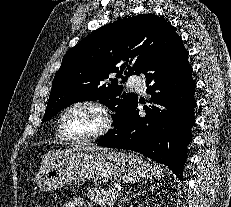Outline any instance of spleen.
I'll return each mask as SVG.
<instances>
[{
  "mask_svg": "<svg viewBox=\"0 0 231 207\" xmlns=\"http://www.w3.org/2000/svg\"><path fill=\"white\" fill-rule=\"evenodd\" d=\"M166 170L165 169H162L160 168L158 165H155L153 168H152V175L154 177H161V176H164V172Z\"/></svg>",
  "mask_w": 231,
  "mask_h": 207,
  "instance_id": "obj_1",
  "label": "spleen"
}]
</instances>
